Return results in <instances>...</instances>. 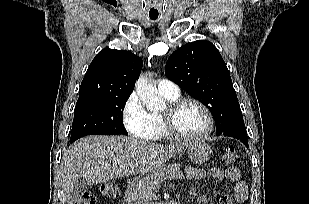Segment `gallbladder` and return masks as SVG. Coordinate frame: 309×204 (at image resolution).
I'll return each instance as SVG.
<instances>
[{"mask_svg": "<svg viewBox=\"0 0 309 204\" xmlns=\"http://www.w3.org/2000/svg\"><path fill=\"white\" fill-rule=\"evenodd\" d=\"M87 190V183L83 179H78L74 183V187L71 192V201H79L82 198V195Z\"/></svg>", "mask_w": 309, "mask_h": 204, "instance_id": "obj_1", "label": "gallbladder"}]
</instances>
